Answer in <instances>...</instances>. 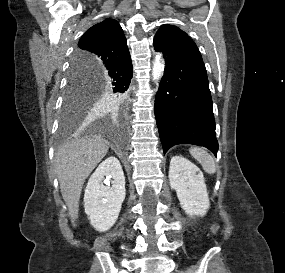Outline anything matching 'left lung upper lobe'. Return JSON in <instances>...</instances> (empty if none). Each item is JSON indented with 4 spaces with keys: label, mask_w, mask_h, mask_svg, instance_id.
<instances>
[{
    "label": "left lung upper lobe",
    "mask_w": 285,
    "mask_h": 273,
    "mask_svg": "<svg viewBox=\"0 0 285 273\" xmlns=\"http://www.w3.org/2000/svg\"><path fill=\"white\" fill-rule=\"evenodd\" d=\"M164 32H174V33L183 34V35H185L190 41H192V39H191L185 32H183V31L180 30L178 27L173 26V25H164V26H162V27L158 30L157 34L164 33Z\"/></svg>",
    "instance_id": "left-lung-upper-lobe-1"
}]
</instances>
